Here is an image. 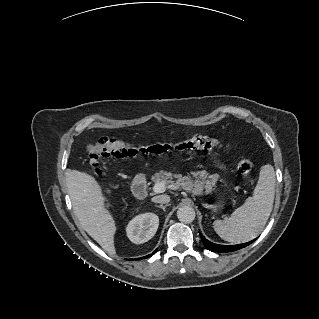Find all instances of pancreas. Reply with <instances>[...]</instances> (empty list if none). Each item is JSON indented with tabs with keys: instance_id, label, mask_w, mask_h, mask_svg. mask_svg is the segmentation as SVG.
<instances>
[{
	"instance_id": "pancreas-1",
	"label": "pancreas",
	"mask_w": 319,
	"mask_h": 319,
	"mask_svg": "<svg viewBox=\"0 0 319 319\" xmlns=\"http://www.w3.org/2000/svg\"><path fill=\"white\" fill-rule=\"evenodd\" d=\"M194 181L191 176L182 177L180 175L172 174L168 171H160L156 173L152 178L153 182L157 183L160 181H168L173 185L179 188H185L187 191H201L203 188L206 189L207 192H211L213 190V186L215 185L218 175L212 174L208 176L205 171L193 172ZM173 178H177L176 181H173ZM209 178V180L207 179Z\"/></svg>"
}]
</instances>
